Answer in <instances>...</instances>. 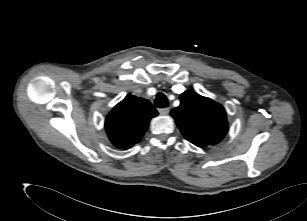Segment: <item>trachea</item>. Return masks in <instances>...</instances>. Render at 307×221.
I'll use <instances>...</instances> for the list:
<instances>
[{"instance_id": "1", "label": "trachea", "mask_w": 307, "mask_h": 221, "mask_svg": "<svg viewBox=\"0 0 307 221\" xmlns=\"http://www.w3.org/2000/svg\"><path fill=\"white\" fill-rule=\"evenodd\" d=\"M155 106L157 108H166L168 106V100L165 94L162 92L158 93L155 98Z\"/></svg>"}]
</instances>
